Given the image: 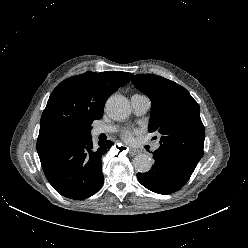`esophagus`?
<instances>
[{
	"instance_id": "34e87169",
	"label": "esophagus",
	"mask_w": 248,
	"mask_h": 248,
	"mask_svg": "<svg viewBox=\"0 0 248 248\" xmlns=\"http://www.w3.org/2000/svg\"><path fill=\"white\" fill-rule=\"evenodd\" d=\"M128 151H129V154L132 155V156H134V155H136L137 153H139L138 150L133 149V148H128Z\"/></svg>"
}]
</instances>
